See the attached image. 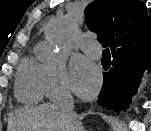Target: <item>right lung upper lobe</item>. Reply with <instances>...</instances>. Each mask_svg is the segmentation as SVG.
<instances>
[{
    "label": "right lung upper lobe",
    "instance_id": "right-lung-upper-lobe-1",
    "mask_svg": "<svg viewBox=\"0 0 151 131\" xmlns=\"http://www.w3.org/2000/svg\"><path fill=\"white\" fill-rule=\"evenodd\" d=\"M89 29L112 56L129 49L137 59L151 55V18L140 0H94L85 10Z\"/></svg>",
    "mask_w": 151,
    "mask_h": 131
}]
</instances>
